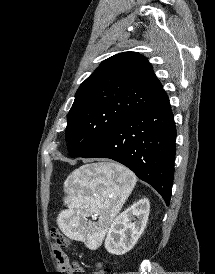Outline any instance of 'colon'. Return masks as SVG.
Returning <instances> with one entry per match:
<instances>
[{
  "label": "colon",
  "instance_id": "1",
  "mask_svg": "<svg viewBox=\"0 0 215 274\" xmlns=\"http://www.w3.org/2000/svg\"><path fill=\"white\" fill-rule=\"evenodd\" d=\"M52 237L57 244V246L60 247H67L69 245V240L68 238L60 231V229L56 226L52 227ZM99 268L98 274H110V269L102 267L101 264L97 265Z\"/></svg>",
  "mask_w": 215,
  "mask_h": 274
}]
</instances>
